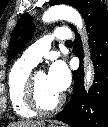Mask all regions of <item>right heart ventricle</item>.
I'll return each instance as SVG.
<instances>
[{"label":"right heart ventricle","instance_id":"right-heart-ventricle-1","mask_svg":"<svg viewBox=\"0 0 108 127\" xmlns=\"http://www.w3.org/2000/svg\"><path fill=\"white\" fill-rule=\"evenodd\" d=\"M34 65L18 60L11 67L8 74V96L14 112L23 118H31L36 115L25 100V86L28 76L32 72Z\"/></svg>","mask_w":108,"mask_h":127}]
</instances>
